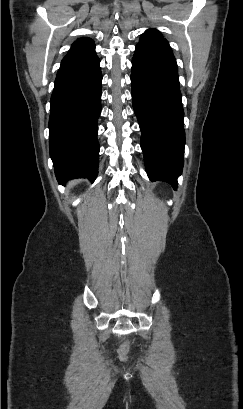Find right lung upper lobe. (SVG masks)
<instances>
[{
	"label": "right lung upper lobe",
	"instance_id": "right-lung-upper-lobe-1",
	"mask_svg": "<svg viewBox=\"0 0 243 409\" xmlns=\"http://www.w3.org/2000/svg\"><path fill=\"white\" fill-rule=\"evenodd\" d=\"M93 45H94V42H93V40L90 39V38H81V39H78L77 41H75V42L72 44L71 49L69 50V52H68L67 55H70V54L79 52V51L84 50V49H86V48H88V47H90V46H93ZM67 55H66V56H67Z\"/></svg>",
	"mask_w": 243,
	"mask_h": 409
}]
</instances>
